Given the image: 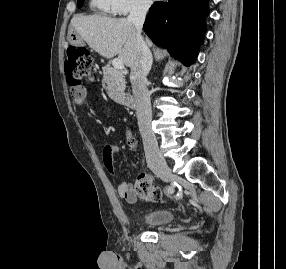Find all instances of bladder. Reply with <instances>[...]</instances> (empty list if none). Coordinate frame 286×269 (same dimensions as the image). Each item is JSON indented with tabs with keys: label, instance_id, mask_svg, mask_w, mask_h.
I'll return each instance as SVG.
<instances>
[{
	"label": "bladder",
	"instance_id": "obj_1",
	"mask_svg": "<svg viewBox=\"0 0 286 269\" xmlns=\"http://www.w3.org/2000/svg\"><path fill=\"white\" fill-rule=\"evenodd\" d=\"M176 213L167 208L155 209L145 212L140 223L148 228H160L174 222Z\"/></svg>",
	"mask_w": 286,
	"mask_h": 269
}]
</instances>
